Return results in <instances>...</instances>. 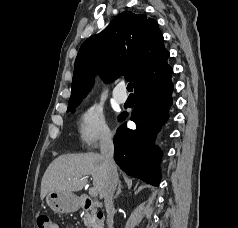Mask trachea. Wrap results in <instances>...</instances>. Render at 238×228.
Returning a JSON list of instances; mask_svg holds the SVG:
<instances>
[{
	"label": "trachea",
	"instance_id": "obj_1",
	"mask_svg": "<svg viewBox=\"0 0 238 228\" xmlns=\"http://www.w3.org/2000/svg\"><path fill=\"white\" fill-rule=\"evenodd\" d=\"M127 90H128L129 92H132V91H133V85H132V83H129V84L127 85Z\"/></svg>",
	"mask_w": 238,
	"mask_h": 228
}]
</instances>
